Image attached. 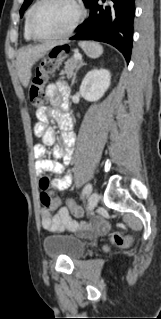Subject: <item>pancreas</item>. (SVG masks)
<instances>
[{
  "mask_svg": "<svg viewBox=\"0 0 161 319\" xmlns=\"http://www.w3.org/2000/svg\"><path fill=\"white\" fill-rule=\"evenodd\" d=\"M79 65H80L79 61L74 58L67 61L65 63L64 70L61 72V75H62L61 79H64V75H66L67 78L72 77L76 73L74 71H77Z\"/></svg>",
  "mask_w": 161,
  "mask_h": 319,
  "instance_id": "obj_1",
  "label": "pancreas"
}]
</instances>
